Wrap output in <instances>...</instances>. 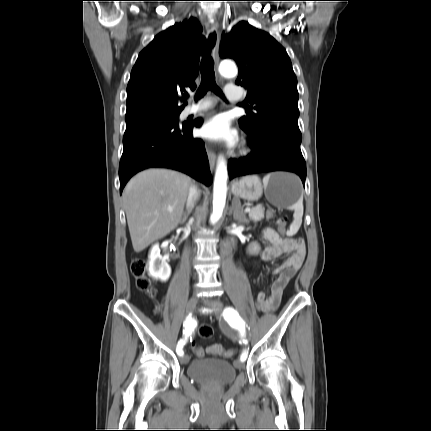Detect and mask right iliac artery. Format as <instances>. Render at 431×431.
<instances>
[{
    "label": "right iliac artery",
    "instance_id": "right-iliac-artery-1",
    "mask_svg": "<svg viewBox=\"0 0 431 431\" xmlns=\"http://www.w3.org/2000/svg\"><path fill=\"white\" fill-rule=\"evenodd\" d=\"M194 327H195V323L192 321L189 315L184 322L183 334L185 335V337L178 342L177 348H176V352L179 356H182L184 354L183 346L185 345L187 338L191 334Z\"/></svg>",
    "mask_w": 431,
    "mask_h": 431
}]
</instances>
